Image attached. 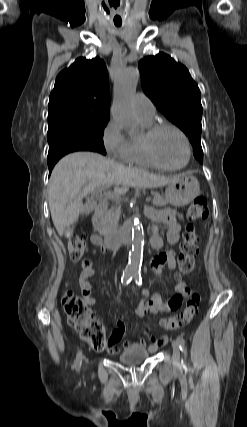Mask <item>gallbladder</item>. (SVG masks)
Segmentation results:
<instances>
[{"label": "gallbladder", "mask_w": 247, "mask_h": 427, "mask_svg": "<svg viewBox=\"0 0 247 427\" xmlns=\"http://www.w3.org/2000/svg\"><path fill=\"white\" fill-rule=\"evenodd\" d=\"M93 208H94V205H93V203H91L90 201L89 202H87L86 204H85V207H84V214H89L92 210H93ZM72 230H73V228H67L66 230H65V235L66 236H70L71 234H72Z\"/></svg>", "instance_id": "gallbladder-1"}]
</instances>
